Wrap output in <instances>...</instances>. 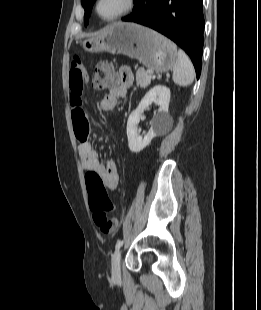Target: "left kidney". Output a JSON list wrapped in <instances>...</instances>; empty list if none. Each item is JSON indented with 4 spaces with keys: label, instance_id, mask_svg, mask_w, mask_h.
Returning a JSON list of instances; mask_svg holds the SVG:
<instances>
[{
    "label": "left kidney",
    "instance_id": "obj_1",
    "mask_svg": "<svg viewBox=\"0 0 261 310\" xmlns=\"http://www.w3.org/2000/svg\"><path fill=\"white\" fill-rule=\"evenodd\" d=\"M159 105L158 113L153 119L149 132L141 136L138 133L140 116L151 103ZM170 102V89L164 85H156L143 97L138 107L130 114L127 121V137L129 149L138 153L150 144L157 135L165 132L172 123L168 108Z\"/></svg>",
    "mask_w": 261,
    "mask_h": 310
}]
</instances>
